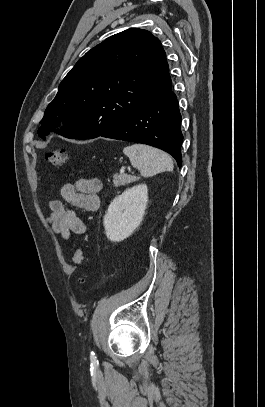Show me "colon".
<instances>
[{"label":"colon","instance_id":"1","mask_svg":"<svg viewBox=\"0 0 265 407\" xmlns=\"http://www.w3.org/2000/svg\"><path fill=\"white\" fill-rule=\"evenodd\" d=\"M46 160L55 166H61L69 162L70 155L65 149H53L46 153ZM84 261V252L82 248H77L72 256V262L77 266L81 267ZM78 281L80 283L84 282V278L79 277Z\"/></svg>","mask_w":265,"mask_h":407}]
</instances>
